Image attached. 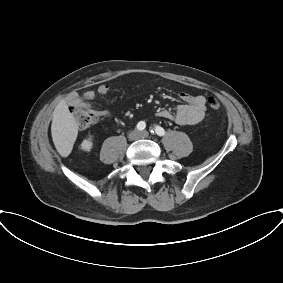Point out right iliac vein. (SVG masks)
<instances>
[{
	"instance_id": "obj_1",
	"label": "right iliac vein",
	"mask_w": 283,
	"mask_h": 283,
	"mask_svg": "<svg viewBox=\"0 0 283 283\" xmlns=\"http://www.w3.org/2000/svg\"><path fill=\"white\" fill-rule=\"evenodd\" d=\"M140 133L137 130H133L129 133L128 138L130 141H135L139 139Z\"/></svg>"
}]
</instances>
